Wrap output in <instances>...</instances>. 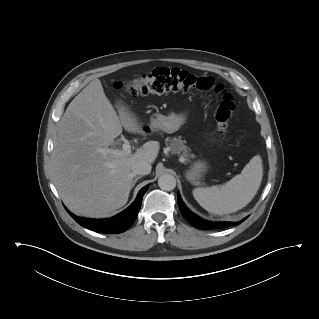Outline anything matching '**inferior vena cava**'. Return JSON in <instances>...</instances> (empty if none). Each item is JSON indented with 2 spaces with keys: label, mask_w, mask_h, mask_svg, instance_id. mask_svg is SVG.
<instances>
[{
  "label": "inferior vena cava",
  "mask_w": 319,
  "mask_h": 319,
  "mask_svg": "<svg viewBox=\"0 0 319 319\" xmlns=\"http://www.w3.org/2000/svg\"><path fill=\"white\" fill-rule=\"evenodd\" d=\"M131 171L134 175H147L151 172V164L145 160H137L132 163Z\"/></svg>",
  "instance_id": "602c4592"
}]
</instances>
